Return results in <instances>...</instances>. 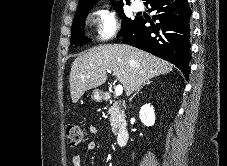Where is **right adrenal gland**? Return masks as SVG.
Instances as JSON below:
<instances>
[{
  "label": "right adrenal gland",
  "mask_w": 227,
  "mask_h": 166,
  "mask_svg": "<svg viewBox=\"0 0 227 166\" xmlns=\"http://www.w3.org/2000/svg\"><path fill=\"white\" fill-rule=\"evenodd\" d=\"M150 83H151L150 81H146V83H144V85H149ZM139 91H140V89L137 90V92L133 95V97H134L136 94H138ZM133 97H132V98H133ZM132 98H131V100H132Z\"/></svg>",
  "instance_id": "right-adrenal-gland-1"
}]
</instances>
